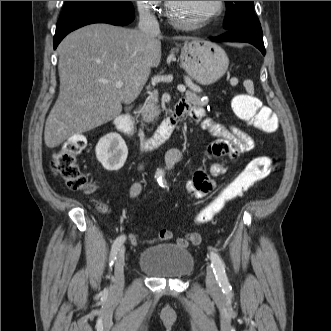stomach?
Returning a JSON list of instances; mask_svg holds the SVG:
<instances>
[{"label":"stomach","mask_w":331,"mask_h":331,"mask_svg":"<svg viewBox=\"0 0 331 331\" xmlns=\"http://www.w3.org/2000/svg\"><path fill=\"white\" fill-rule=\"evenodd\" d=\"M181 66L199 84L210 85L219 80L227 71L229 59L217 44L193 39L185 42L180 54Z\"/></svg>","instance_id":"obj_1"}]
</instances>
